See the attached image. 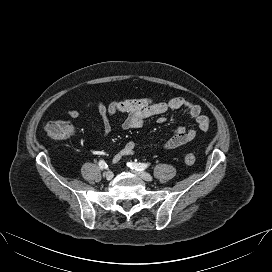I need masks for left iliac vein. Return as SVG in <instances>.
<instances>
[{"label": "left iliac vein", "instance_id": "4c4485c4", "mask_svg": "<svg viewBox=\"0 0 272 272\" xmlns=\"http://www.w3.org/2000/svg\"><path fill=\"white\" fill-rule=\"evenodd\" d=\"M133 172L136 173L140 178H142L145 181L150 182L153 180V177L147 172L137 171V170H135Z\"/></svg>", "mask_w": 272, "mask_h": 272}]
</instances>
